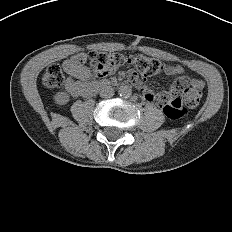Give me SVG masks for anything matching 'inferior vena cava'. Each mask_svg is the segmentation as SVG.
<instances>
[{"label": "inferior vena cava", "mask_w": 232, "mask_h": 232, "mask_svg": "<svg viewBox=\"0 0 232 232\" xmlns=\"http://www.w3.org/2000/svg\"><path fill=\"white\" fill-rule=\"evenodd\" d=\"M113 95H114V88L111 86H103L100 89V96L102 98L108 99V98H111Z\"/></svg>", "instance_id": "1"}]
</instances>
